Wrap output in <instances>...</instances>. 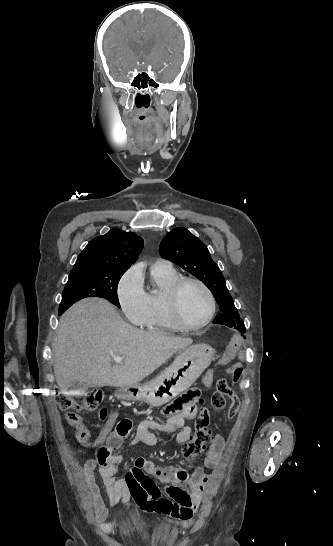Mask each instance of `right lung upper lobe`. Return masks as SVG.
<instances>
[{
    "label": "right lung upper lobe",
    "instance_id": "right-lung-upper-lobe-1",
    "mask_svg": "<svg viewBox=\"0 0 333 546\" xmlns=\"http://www.w3.org/2000/svg\"><path fill=\"white\" fill-rule=\"evenodd\" d=\"M143 245V239L135 233L112 229L88 243L70 275L82 274L93 267L127 270L138 259Z\"/></svg>",
    "mask_w": 333,
    "mask_h": 546
}]
</instances>
